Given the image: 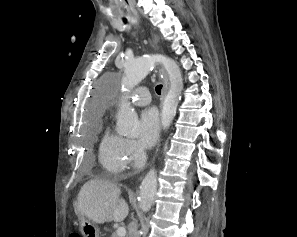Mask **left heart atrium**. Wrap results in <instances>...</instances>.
I'll list each match as a JSON object with an SVG mask.
<instances>
[{
  "label": "left heart atrium",
  "instance_id": "39dd6f15",
  "mask_svg": "<svg viewBox=\"0 0 297 237\" xmlns=\"http://www.w3.org/2000/svg\"><path fill=\"white\" fill-rule=\"evenodd\" d=\"M141 132L139 141L144 147H152L158 140L161 122L156 108L149 107L140 115Z\"/></svg>",
  "mask_w": 297,
  "mask_h": 237
}]
</instances>
